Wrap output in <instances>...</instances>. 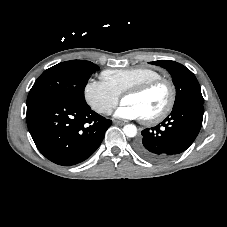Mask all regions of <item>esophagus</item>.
<instances>
[{"label": "esophagus", "instance_id": "obj_1", "mask_svg": "<svg viewBox=\"0 0 227 227\" xmlns=\"http://www.w3.org/2000/svg\"><path fill=\"white\" fill-rule=\"evenodd\" d=\"M113 122H114V124H116V125H124V124H125V122L118 121V120H114Z\"/></svg>", "mask_w": 227, "mask_h": 227}]
</instances>
